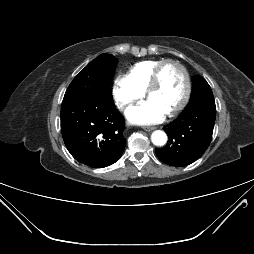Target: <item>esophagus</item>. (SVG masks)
<instances>
[{
    "instance_id": "obj_1",
    "label": "esophagus",
    "mask_w": 254,
    "mask_h": 254,
    "mask_svg": "<svg viewBox=\"0 0 254 254\" xmlns=\"http://www.w3.org/2000/svg\"><path fill=\"white\" fill-rule=\"evenodd\" d=\"M143 129L147 132L153 131L155 127H143Z\"/></svg>"
}]
</instances>
